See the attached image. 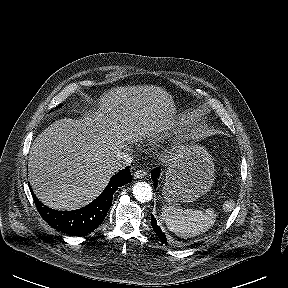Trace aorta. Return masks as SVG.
I'll use <instances>...</instances> for the list:
<instances>
[{
  "label": "aorta",
  "instance_id": "1",
  "mask_svg": "<svg viewBox=\"0 0 288 288\" xmlns=\"http://www.w3.org/2000/svg\"><path fill=\"white\" fill-rule=\"evenodd\" d=\"M133 196L141 203L149 202L152 199V187L143 181H138L133 186Z\"/></svg>",
  "mask_w": 288,
  "mask_h": 288
}]
</instances>
